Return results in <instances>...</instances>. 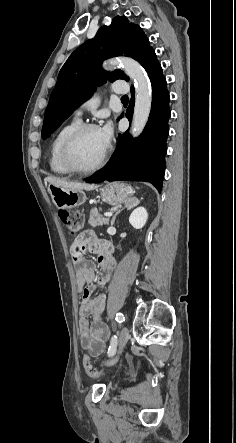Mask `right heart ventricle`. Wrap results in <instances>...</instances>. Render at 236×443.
<instances>
[{
	"label": "right heart ventricle",
	"mask_w": 236,
	"mask_h": 443,
	"mask_svg": "<svg viewBox=\"0 0 236 443\" xmlns=\"http://www.w3.org/2000/svg\"><path fill=\"white\" fill-rule=\"evenodd\" d=\"M80 124V119L75 118L61 127L53 137L49 150V166L54 173L59 175H67L71 173L62 163L61 147L66 137Z\"/></svg>",
	"instance_id": "e07e8e85"
}]
</instances>
